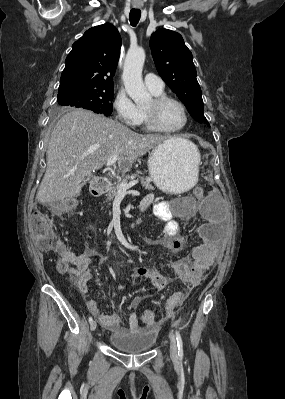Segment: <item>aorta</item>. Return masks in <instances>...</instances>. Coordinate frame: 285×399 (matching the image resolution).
I'll return each mask as SVG.
<instances>
[{
    "label": "aorta",
    "mask_w": 285,
    "mask_h": 399,
    "mask_svg": "<svg viewBox=\"0 0 285 399\" xmlns=\"http://www.w3.org/2000/svg\"><path fill=\"white\" fill-rule=\"evenodd\" d=\"M145 61V51L142 48L129 49L123 68V82L128 95L142 106L151 100L142 80V69Z\"/></svg>",
    "instance_id": "762f6f07"
}]
</instances>
